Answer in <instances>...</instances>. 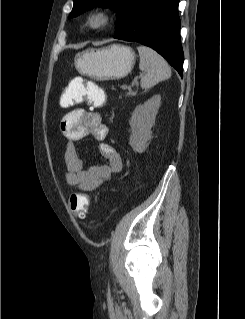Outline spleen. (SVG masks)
I'll use <instances>...</instances> for the list:
<instances>
[{
	"mask_svg": "<svg viewBox=\"0 0 245 319\" xmlns=\"http://www.w3.org/2000/svg\"><path fill=\"white\" fill-rule=\"evenodd\" d=\"M140 56L139 68L145 72L141 77V88L150 89L171 77V69L166 60L150 47H137Z\"/></svg>",
	"mask_w": 245,
	"mask_h": 319,
	"instance_id": "spleen-1",
	"label": "spleen"
}]
</instances>
